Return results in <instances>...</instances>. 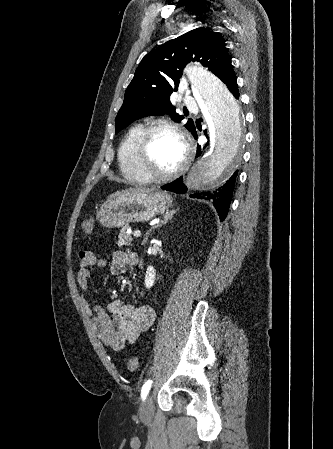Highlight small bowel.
<instances>
[{
  "mask_svg": "<svg viewBox=\"0 0 333 449\" xmlns=\"http://www.w3.org/2000/svg\"><path fill=\"white\" fill-rule=\"evenodd\" d=\"M80 267L77 283L81 290V302L92 326L104 344L115 351L133 343L148 329L155 319V310L150 305H133L116 299L104 310L89 295L91 269L105 264L96 254L89 251L79 253ZM138 256L132 252L116 251L109 264L110 273L123 274L127 267L136 265Z\"/></svg>",
  "mask_w": 333,
  "mask_h": 449,
  "instance_id": "c3829d8e",
  "label": "small bowel"
}]
</instances>
